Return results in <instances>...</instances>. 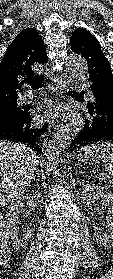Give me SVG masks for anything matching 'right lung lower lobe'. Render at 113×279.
Segmentation results:
<instances>
[{
    "instance_id": "98d812e1",
    "label": "right lung lower lobe",
    "mask_w": 113,
    "mask_h": 279,
    "mask_svg": "<svg viewBox=\"0 0 113 279\" xmlns=\"http://www.w3.org/2000/svg\"><path fill=\"white\" fill-rule=\"evenodd\" d=\"M48 82V80H46ZM31 118L27 111H23L22 117L11 123L0 125V140H15L27 144L39 154L41 136L47 131L48 123L41 129H34L30 125Z\"/></svg>"
}]
</instances>
